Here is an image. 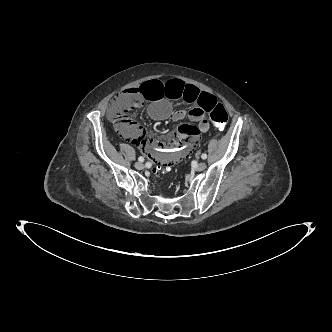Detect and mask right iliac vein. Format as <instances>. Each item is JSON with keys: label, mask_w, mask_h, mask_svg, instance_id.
Masks as SVG:
<instances>
[{"label": "right iliac vein", "mask_w": 332, "mask_h": 332, "mask_svg": "<svg viewBox=\"0 0 332 332\" xmlns=\"http://www.w3.org/2000/svg\"><path fill=\"white\" fill-rule=\"evenodd\" d=\"M135 168L138 169V170H142L144 168V164L140 161H137L135 163Z\"/></svg>", "instance_id": "1"}]
</instances>
